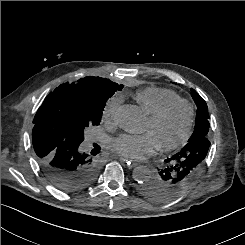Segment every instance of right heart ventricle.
<instances>
[{
	"instance_id": "1",
	"label": "right heart ventricle",
	"mask_w": 245,
	"mask_h": 245,
	"mask_svg": "<svg viewBox=\"0 0 245 245\" xmlns=\"http://www.w3.org/2000/svg\"><path fill=\"white\" fill-rule=\"evenodd\" d=\"M180 98L170 89L160 87H148L135 95L136 101L148 113L152 114L169 101Z\"/></svg>"
}]
</instances>
